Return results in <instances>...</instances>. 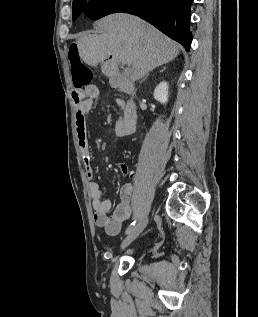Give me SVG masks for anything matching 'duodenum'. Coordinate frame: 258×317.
<instances>
[{"label": "duodenum", "instance_id": "410a0bca", "mask_svg": "<svg viewBox=\"0 0 258 317\" xmlns=\"http://www.w3.org/2000/svg\"><path fill=\"white\" fill-rule=\"evenodd\" d=\"M87 96L88 93L85 89L75 88L72 92V99L75 106H81L85 102Z\"/></svg>", "mask_w": 258, "mask_h": 317}]
</instances>
